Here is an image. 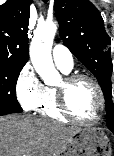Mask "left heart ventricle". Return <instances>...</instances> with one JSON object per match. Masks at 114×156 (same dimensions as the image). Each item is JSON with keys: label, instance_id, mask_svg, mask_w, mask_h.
Returning a JSON list of instances; mask_svg holds the SVG:
<instances>
[{"label": "left heart ventricle", "instance_id": "b2bd125f", "mask_svg": "<svg viewBox=\"0 0 114 156\" xmlns=\"http://www.w3.org/2000/svg\"><path fill=\"white\" fill-rule=\"evenodd\" d=\"M68 104L77 118L85 121L94 119L99 110V99L94 86L87 80L75 83L69 91Z\"/></svg>", "mask_w": 114, "mask_h": 156}]
</instances>
